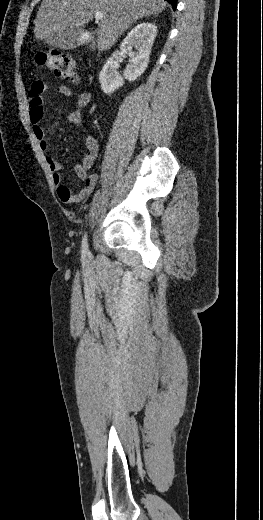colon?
Masks as SVG:
<instances>
[{"label":"colon","instance_id":"obj_1","mask_svg":"<svg viewBox=\"0 0 263 520\" xmlns=\"http://www.w3.org/2000/svg\"><path fill=\"white\" fill-rule=\"evenodd\" d=\"M35 62L41 67L53 72L57 77L76 82L78 80L77 66L74 60L55 49L38 51Z\"/></svg>","mask_w":263,"mask_h":520}]
</instances>
